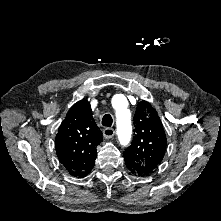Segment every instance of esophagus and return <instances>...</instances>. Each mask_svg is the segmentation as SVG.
Masks as SVG:
<instances>
[{"mask_svg": "<svg viewBox=\"0 0 221 221\" xmlns=\"http://www.w3.org/2000/svg\"><path fill=\"white\" fill-rule=\"evenodd\" d=\"M115 134V130L112 129V128H106L104 129L103 131V136L106 138V139H109L111 137H113Z\"/></svg>", "mask_w": 221, "mask_h": 221, "instance_id": "esophagus-1", "label": "esophagus"}]
</instances>
